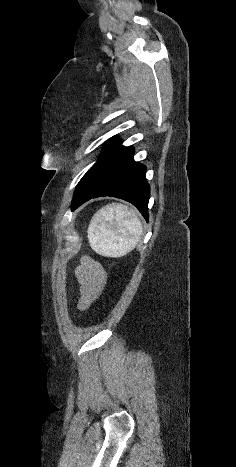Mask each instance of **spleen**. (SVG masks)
<instances>
[{
	"instance_id": "1",
	"label": "spleen",
	"mask_w": 236,
	"mask_h": 467,
	"mask_svg": "<svg viewBox=\"0 0 236 467\" xmlns=\"http://www.w3.org/2000/svg\"><path fill=\"white\" fill-rule=\"evenodd\" d=\"M142 232V224L133 211L123 204L112 203L94 214L87 234L96 253L118 258L136 247Z\"/></svg>"
}]
</instances>
